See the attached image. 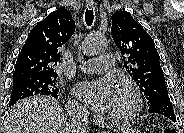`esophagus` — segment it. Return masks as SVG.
<instances>
[{"label": "esophagus", "instance_id": "esophagus-1", "mask_svg": "<svg viewBox=\"0 0 184 133\" xmlns=\"http://www.w3.org/2000/svg\"><path fill=\"white\" fill-rule=\"evenodd\" d=\"M87 6L89 7V8H91V7H93V1L92 0H88L87 2Z\"/></svg>", "mask_w": 184, "mask_h": 133}]
</instances>
